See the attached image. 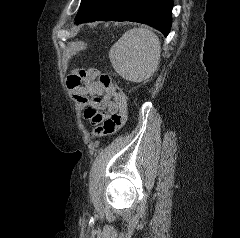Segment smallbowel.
I'll use <instances>...</instances> for the list:
<instances>
[{
	"label": "small bowel",
	"instance_id": "small-bowel-1",
	"mask_svg": "<svg viewBox=\"0 0 240 238\" xmlns=\"http://www.w3.org/2000/svg\"><path fill=\"white\" fill-rule=\"evenodd\" d=\"M67 87L74 100L84 106L83 116L92 125L118 111L112 95L107 92L95 77V69H74L67 79Z\"/></svg>",
	"mask_w": 240,
	"mask_h": 238
}]
</instances>
